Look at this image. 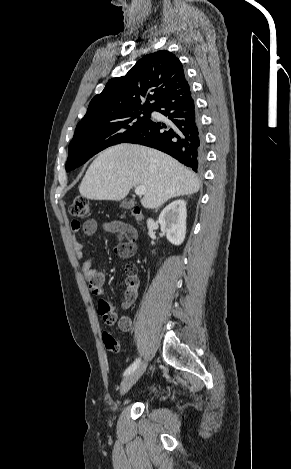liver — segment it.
<instances>
[{"instance_id":"6515ba94","label":"liver","mask_w":291,"mask_h":469,"mask_svg":"<svg viewBox=\"0 0 291 469\" xmlns=\"http://www.w3.org/2000/svg\"><path fill=\"white\" fill-rule=\"evenodd\" d=\"M134 186H144L143 207L158 208L177 196L198 192L195 173L158 150L119 144L102 151L88 168L80 194L91 200L124 199Z\"/></svg>"}]
</instances>
